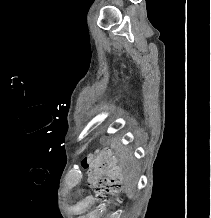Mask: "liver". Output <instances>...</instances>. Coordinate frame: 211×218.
<instances>
[{
    "label": "liver",
    "mask_w": 211,
    "mask_h": 218,
    "mask_svg": "<svg viewBox=\"0 0 211 218\" xmlns=\"http://www.w3.org/2000/svg\"><path fill=\"white\" fill-rule=\"evenodd\" d=\"M111 146L120 152V138H113ZM119 156L121 160L122 184H124L126 194L132 196V190L138 182L140 168L134 162L133 152L129 148H125Z\"/></svg>",
    "instance_id": "liver-1"
}]
</instances>
